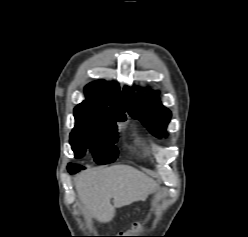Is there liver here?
<instances>
[{
	"label": "liver",
	"mask_w": 248,
	"mask_h": 237,
	"mask_svg": "<svg viewBox=\"0 0 248 237\" xmlns=\"http://www.w3.org/2000/svg\"><path fill=\"white\" fill-rule=\"evenodd\" d=\"M156 187L151 178L124 164L89 170L75 179V188L84 209L102 223L113 219L115 208L146 198Z\"/></svg>",
	"instance_id": "1"
}]
</instances>
